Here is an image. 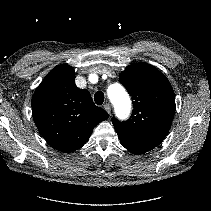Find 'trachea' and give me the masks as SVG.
Wrapping results in <instances>:
<instances>
[{
    "label": "trachea",
    "instance_id": "obj_1",
    "mask_svg": "<svg viewBox=\"0 0 211 211\" xmlns=\"http://www.w3.org/2000/svg\"><path fill=\"white\" fill-rule=\"evenodd\" d=\"M94 101L97 105H102L104 102V94L101 91H97L94 95Z\"/></svg>",
    "mask_w": 211,
    "mask_h": 211
}]
</instances>
